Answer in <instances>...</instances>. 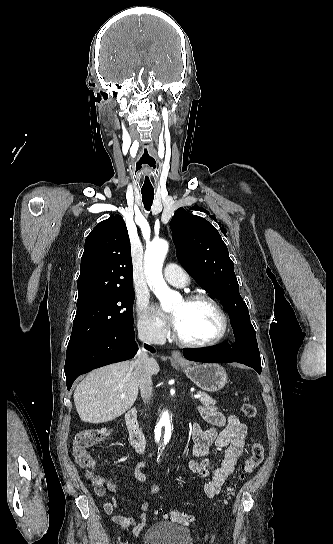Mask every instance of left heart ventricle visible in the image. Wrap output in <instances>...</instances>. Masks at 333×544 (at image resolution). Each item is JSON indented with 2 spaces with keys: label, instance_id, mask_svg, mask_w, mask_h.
Segmentation results:
<instances>
[{
  "label": "left heart ventricle",
  "instance_id": "obj_1",
  "mask_svg": "<svg viewBox=\"0 0 333 544\" xmlns=\"http://www.w3.org/2000/svg\"><path fill=\"white\" fill-rule=\"evenodd\" d=\"M177 319L176 330L186 340L204 342L214 338L221 327L216 309L206 301H181L172 310Z\"/></svg>",
  "mask_w": 333,
  "mask_h": 544
}]
</instances>
